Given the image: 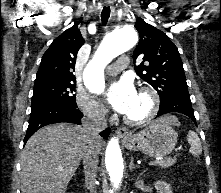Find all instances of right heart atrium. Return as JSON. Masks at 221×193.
Segmentation results:
<instances>
[{
    "label": "right heart atrium",
    "instance_id": "1",
    "mask_svg": "<svg viewBox=\"0 0 221 193\" xmlns=\"http://www.w3.org/2000/svg\"><path fill=\"white\" fill-rule=\"evenodd\" d=\"M75 101L79 110L90 119L96 121H103L106 119V108L88 94L78 93Z\"/></svg>",
    "mask_w": 221,
    "mask_h": 193
}]
</instances>
